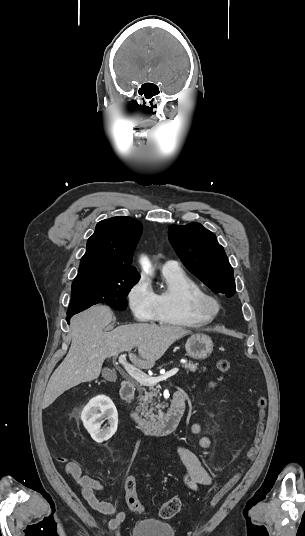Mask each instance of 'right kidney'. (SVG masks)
I'll list each match as a JSON object with an SVG mask.
<instances>
[{"label": "right kidney", "mask_w": 305, "mask_h": 536, "mask_svg": "<svg viewBox=\"0 0 305 536\" xmlns=\"http://www.w3.org/2000/svg\"><path fill=\"white\" fill-rule=\"evenodd\" d=\"M81 420L91 438L98 444L112 438L118 426L117 410L112 400L107 396H97V398L90 400L81 414ZM104 420H108V422L104 428H101Z\"/></svg>", "instance_id": "1"}]
</instances>
